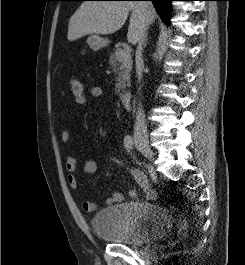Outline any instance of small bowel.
<instances>
[{
  "mask_svg": "<svg viewBox=\"0 0 245 265\" xmlns=\"http://www.w3.org/2000/svg\"><path fill=\"white\" fill-rule=\"evenodd\" d=\"M89 95L93 98L101 97L103 95V89L99 86H92L89 89ZM85 105H81V106L78 105V106L82 107ZM60 138L63 143H67L70 139L69 131L67 129L62 130L60 134ZM65 167L68 172L67 181H68L69 186L73 189H78L80 186V182L77 176V170H78L77 160L73 156H67ZM81 168H82L83 173L88 174V175L93 174L97 170V163L92 159H88L82 162ZM130 173L133 179L136 181V183L144 190L145 195L148 199H155L157 197L156 191L149 187L148 180L146 176L144 175V173H142L141 171L137 169H131ZM129 197L136 198L137 191L134 189L130 190ZM123 199H124V196L122 193L114 192L111 194V196L106 198L104 203L105 205H111L115 203H120L123 201ZM97 207L98 205L92 201L83 202V209L88 213L94 212L97 209Z\"/></svg>",
  "mask_w": 245,
  "mask_h": 265,
  "instance_id": "1",
  "label": "small bowel"
}]
</instances>
